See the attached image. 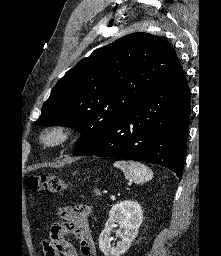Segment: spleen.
Listing matches in <instances>:
<instances>
[{
	"instance_id": "3e777b00",
	"label": "spleen",
	"mask_w": 221,
	"mask_h": 256,
	"mask_svg": "<svg viewBox=\"0 0 221 256\" xmlns=\"http://www.w3.org/2000/svg\"><path fill=\"white\" fill-rule=\"evenodd\" d=\"M113 165L124 172L126 179L136 184H143L153 177L151 169L139 162L115 161Z\"/></svg>"
}]
</instances>
